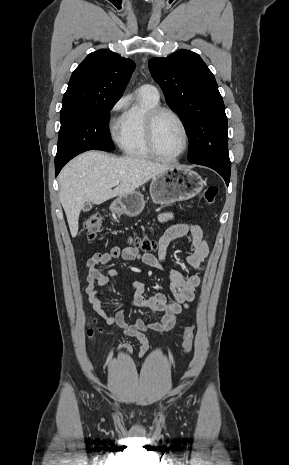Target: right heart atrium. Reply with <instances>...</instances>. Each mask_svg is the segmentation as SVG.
I'll list each match as a JSON object with an SVG mask.
<instances>
[{
  "label": "right heart atrium",
  "mask_w": 289,
  "mask_h": 465,
  "mask_svg": "<svg viewBox=\"0 0 289 465\" xmlns=\"http://www.w3.org/2000/svg\"><path fill=\"white\" fill-rule=\"evenodd\" d=\"M128 98L126 96L121 97L112 107L111 113L114 115L117 112L121 111L127 106ZM119 127V123L116 120H112L111 122V131L115 133Z\"/></svg>",
  "instance_id": "obj_1"
}]
</instances>
